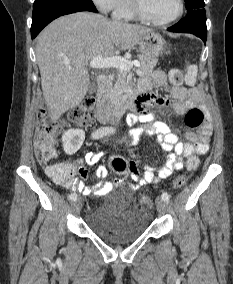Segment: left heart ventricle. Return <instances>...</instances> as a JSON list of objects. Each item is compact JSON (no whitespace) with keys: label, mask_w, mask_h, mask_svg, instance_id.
Instances as JSON below:
<instances>
[{"label":"left heart ventricle","mask_w":233,"mask_h":284,"mask_svg":"<svg viewBox=\"0 0 233 284\" xmlns=\"http://www.w3.org/2000/svg\"><path fill=\"white\" fill-rule=\"evenodd\" d=\"M146 13L155 20L171 18L178 9L177 0H142Z\"/></svg>","instance_id":"obj_1"}]
</instances>
